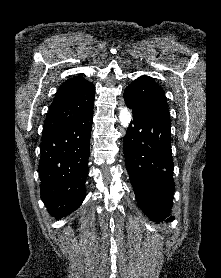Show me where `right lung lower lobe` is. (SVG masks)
I'll list each match as a JSON object with an SVG mask.
<instances>
[{
    "label": "right lung lower lobe",
    "mask_w": 221,
    "mask_h": 278,
    "mask_svg": "<svg viewBox=\"0 0 221 278\" xmlns=\"http://www.w3.org/2000/svg\"><path fill=\"white\" fill-rule=\"evenodd\" d=\"M93 108L40 144L41 199L57 219L79 208L86 196Z\"/></svg>",
    "instance_id": "98d812e1"
}]
</instances>
